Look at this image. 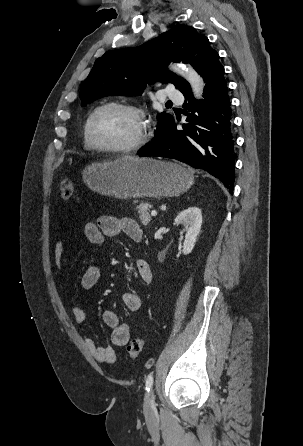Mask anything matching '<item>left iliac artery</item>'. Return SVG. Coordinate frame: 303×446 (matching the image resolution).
I'll return each instance as SVG.
<instances>
[{
	"label": "left iliac artery",
	"instance_id": "left-iliac-artery-1",
	"mask_svg": "<svg viewBox=\"0 0 303 446\" xmlns=\"http://www.w3.org/2000/svg\"><path fill=\"white\" fill-rule=\"evenodd\" d=\"M152 385H153V375L152 373H150L146 379V390L150 391Z\"/></svg>",
	"mask_w": 303,
	"mask_h": 446
}]
</instances>
